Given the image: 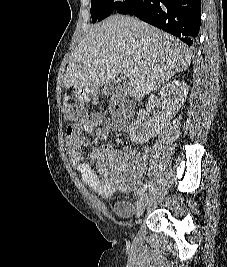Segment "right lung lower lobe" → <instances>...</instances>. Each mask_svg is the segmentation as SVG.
Segmentation results:
<instances>
[{
	"label": "right lung lower lobe",
	"mask_w": 227,
	"mask_h": 267,
	"mask_svg": "<svg viewBox=\"0 0 227 267\" xmlns=\"http://www.w3.org/2000/svg\"><path fill=\"white\" fill-rule=\"evenodd\" d=\"M116 13L129 14L191 46L201 22V0H128Z\"/></svg>",
	"instance_id": "obj_1"
}]
</instances>
